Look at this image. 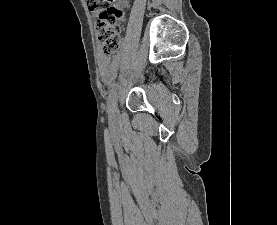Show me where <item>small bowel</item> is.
<instances>
[{"label": "small bowel", "mask_w": 277, "mask_h": 225, "mask_svg": "<svg viewBox=\"0 0 277 225\" xmlns=\"http://www.w3.org/2000/svg\"><path fill=\"white\" fill-rule=\"evenodd\" d=\"M119 5L124 6L125 0H119ZM122 62V55L116 54L112 57L99 54L98 56V72L101 80L104 83L112 82L118 72Z\"/></svg>", "instance_id": "c3829d8e"}]
</instances>
